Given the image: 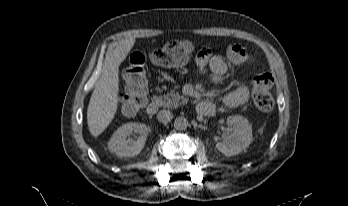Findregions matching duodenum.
Returning <instances> with one entry per match:
<instances>
[{
  "instance_id": "410a0bca",
  "label": "duodenum",
  "mask_w": 348,
  "mask_h": 206,
  "mask_svg": "<svg viewBox=\"0 0 348 206\" xmlns=\"http://www.w3.org/2000/svg\"><path fill=\"white\" fill-rule=\"evenodd\" d=\"M161 100L159 98H155L147 107V113L151 116L155 115L158 109L161 106ZM214 112V107L209 102H202L197 107V113L203 116L212 115Z\"/></svg>"
}]
</instances>
